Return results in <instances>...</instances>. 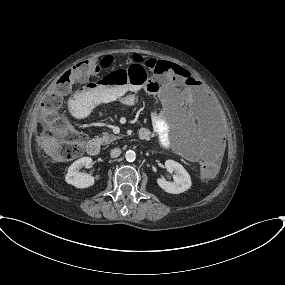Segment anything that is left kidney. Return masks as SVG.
<instances>
[{"label":"left kidney","mask_w":285,"mask_h":285,"mask_svg":"<svg viewBox=\"0 0 285 285\" xmlns=\"http://www.w3.org/2000/svg\"><path fill=\"white\" fill-rule=\"evenodd\" d=\"M165 167L173 175L174 182L167 181L164 177L157 179L160 188L170 194H179L191 187V178L184 167L174 160H166Z\"/></svg>","instance_id":"obj_1"}]
</instances>
